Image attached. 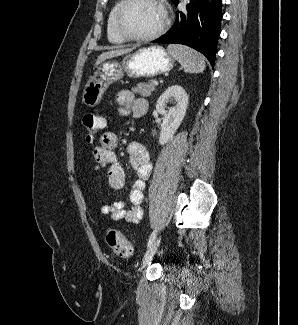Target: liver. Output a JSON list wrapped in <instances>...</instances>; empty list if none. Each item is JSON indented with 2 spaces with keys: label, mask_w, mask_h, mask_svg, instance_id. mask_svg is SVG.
I'll return each mask as SVG.
<instances>
[{
  "label": "liver",
  "mask_w": 298,
  "mask_h": 325,
  "mask_svg": "<svg viewBox=\"0 0 298 325\" xmlns=\"http://www.w3.org/2000/svg\"><path fill=\"white\" fill-rule=\"evenodd\" d=\"M133 48H113V50H106V52H101L99 56H97L95 60V66L107 60V58H114V56H121V54H127V52H131Z\"/></svg>",
  "instance_id": "liver-1"
}]
</instances>
